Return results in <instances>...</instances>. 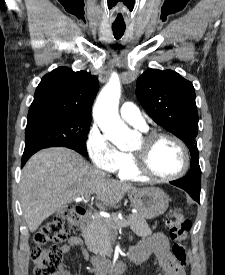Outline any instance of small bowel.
I'll return each instance as SVG.
<instances>
[{"label":"small bowel","instance_id":"small-bowel-1","mask_svg":"<svg viewBox=\"0 0 225 275\" xmlns=\"http://www.w3.org/2000/svg\"><path fill=\"white\" fill-rule=\"evenodd\" d=\"M77 247H83V241L78 236H72L68 239L67 243L62 245L61 251L64 254H68ZM131 255L138 263H142L151 255H154L160 275H186L183 267L171 255L168 239L163 234L155 233L144 238L132 249ZM61 275L71 274L69 272H62Z\"/></svg>","mask_w":225,"mask_h":275}]
</instances>
